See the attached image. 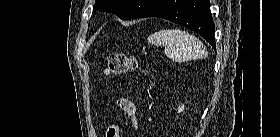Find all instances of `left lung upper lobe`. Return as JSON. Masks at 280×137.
<instances>
[{
    "label": "left lung upper lobe",
    "mask_w": 280,
    "mask_h": 137,
    "mask_svg": "<svg viewBox=\"0 0 280 137\" xmlns=\"http://www.w3.org/2000/svg\"><path fill=\"white\" fill-rule=\"evenodd\" d=\"M160 0H96L93 11L116 13L122 20L136 19Z\"/></svg>",
    "instance_id": "1"
}]
</instances>
